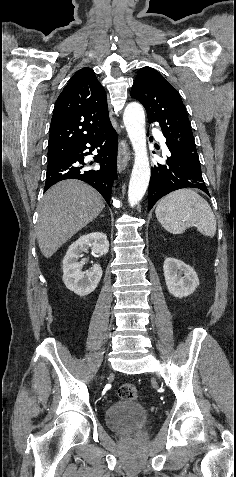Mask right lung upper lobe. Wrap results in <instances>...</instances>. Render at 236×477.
Returning a JSON list of instances; mask_svg holds the SVG:
<instances>
[{"instance_id": "cb5924a9", "label": "right lung upper lobe", "mask_w": 236, "mask_h": 477, "mask_svg": "<svg viewBox=\"0 0 236 477\" xmlns=\"http://www.w3.org/2000/svg\"><path fill=\"white\" fill-rule=\"evenodd\" d=\"M109 123L104 88L91 68L80 69L71 77L55 103L48 157H66L87 137Z\"/></svg>"}]
</instances>
